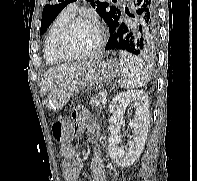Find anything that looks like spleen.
Masks as SVG:
<instances>
[{
    "label": "spleen",
    "instance_id": "spleen-1",
    "mask_svg": "<svg viewBox=\"0 0 197 181\" xmlns=\"http://www.w3.org/2000/svg\"><path fill=\"white\" fill-rule=\"evenodd\" d=\"M121 88L132 89L145 85L150 80L148 66L139 58L125 52H120Z\"/></svg>",
    "mask_w": 197,
    "mask_h": 181
}]
</instances>
